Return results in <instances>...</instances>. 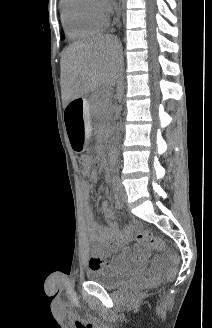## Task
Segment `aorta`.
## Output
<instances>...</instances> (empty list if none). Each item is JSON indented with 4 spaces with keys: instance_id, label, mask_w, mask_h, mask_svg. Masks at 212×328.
<instances>
[{
    "instance_id": "obj_1",
    "label": "aorta",
    "mask_w": 212,
    "mask_h": 328,
    "mask_svg": "<svg viewBox=\"0 0 212 328\" xmlns=\"http://www.w3.org/2000/svg\"><path fill=\"white\" fill-rule=\"evenodd\" d=\"M114 177L117 179L119 176L116 174Z\"/></svg>"
}]
</instances>
